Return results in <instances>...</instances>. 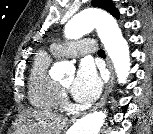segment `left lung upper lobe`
<instances>
[{"mask_svg": "<svg viewBox=\"0 0 153 134\" xmlns=\"http://www.w3.org/2000/svg\"><path fill=\"white\" fill-rule=\"evenodd\" d=\"M91 4L93 7L102 8L108 11L111 15L117 18L119 17V11L115 8L111 0H92Z\"/></svg>", "mask_w": 153, "mask_h": 134, "instance_id": "1", "label": "left lung upper lobe"}]
</instances>
